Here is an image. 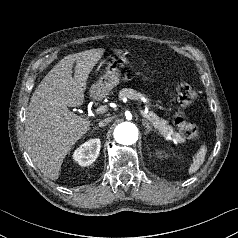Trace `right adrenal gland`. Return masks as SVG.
Instances as JSON below:
<instances>
[{
	"mask_svg": "<svg viewBox=\"0 0 238 238\" xmlns=\"http://www.w3.org/2000/svg\"><path fill=\"white\" fill-rule=\"evenodd\" d=\"M93 130H99V127H94Z\"/></svg>",
	"mask_w": 238,
	"mask_h": 238,
	"instance_id": "1",
	"label": "right adrenal gland"
}]
</instances>
